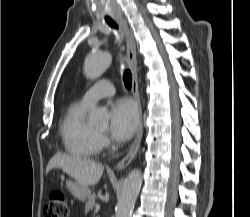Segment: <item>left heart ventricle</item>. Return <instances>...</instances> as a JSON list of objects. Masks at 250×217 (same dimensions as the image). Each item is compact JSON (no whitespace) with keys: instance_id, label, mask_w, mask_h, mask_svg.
<instances>
[{"instance_id":"obj_1","label":"left heart ventricle","mask_w":250,"mask_h":217,"mask_svg":"<svg viewBox=\"0 0 250 217\" xmlns=\"http://www.w3.org/2000/svg\"><path fill=\"white\" fill-rule=\"evenodd\" d=\"M97 130L99 131V132H104L105 131V128L103 127V128H97Z\"/></svg>"}]
</instances>
